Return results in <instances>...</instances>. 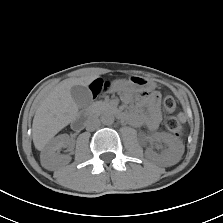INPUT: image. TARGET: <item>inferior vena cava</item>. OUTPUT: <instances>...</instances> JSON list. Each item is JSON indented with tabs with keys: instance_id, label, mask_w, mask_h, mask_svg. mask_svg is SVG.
Returning a JSON list of instances; mask_svg holds the SVG:
<instances>
[{
	"instance_id": "602c4592",
	"label": "inferior vena cava",
	"mask_w": 223,
	"mask_h": 223,
	"mask_svg": "<svg viewBox=\"0 0 223 223\" xmlns=\"http://www.w3.org/2000/svg\"><path fill=\"white\" fill-rule=\"evenodd\" d=\"M99 127H100V120L98 118H92L86 122V129L88 131H94Z\"/></svg>"
}]
</instances>
